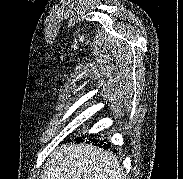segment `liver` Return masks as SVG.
<instances>
[{
    "label": "liver",
    "mask_w": 183,
    "mask_h": 179,
    "mask_svg": "<svg viewBox=\"0 0 183 179\" xmlns=\"http://www.w3.org/2000/svg\"><path fill=\"white\" fill-rule=\"evenodd\" d=\"M116 156L90 144L64 145L48 160L41 179H122Z\"/></svg>",
    "instance_id": "obj_1"
}]
</instances>
